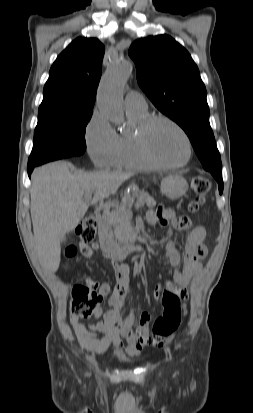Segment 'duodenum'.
Masks as SVG:
<instances>
[{
	"mask_svg": "<svg viewBox=\"0 0 253 413\" xmlns=\"http://www.w3.org/2000/svg\"><path fill=\"white\" fill-rule=\"evenodd\" d=\"M103 209L104 206L100 205L97 209V213L99 216V239L104 255L111 259L120 261L131 253L140 252L142 247L139 245L117 246L110 241L107 225L101 219Z\"/></svg>",
	"mask_w": 253,
	"mask_h": 413,
	"instance_id": "duodenum-1",
	"label": "duodenum"
}]
</instances>
